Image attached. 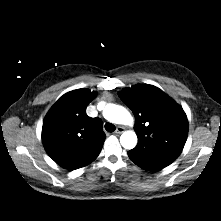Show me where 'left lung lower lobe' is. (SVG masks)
Instances as JSON below:
<instances>
[{
  "instance_id": "obj_1",
  "label": "left lung lower lobe",
  "mask_w": 221,
  "mask_h": 221,
  "mask_svg": "<svg viewBox=\"0 0 221 221\" xmlns=\"http://www.w3.org/2000/svg\"><path fill=\"white\" fill-rule=\"evenodd\" d=\"M128 155L136 165L147 171H159L176 159L171 156L137 154L131 151L128 152Z\"/></svg>"
}]
</instances>
